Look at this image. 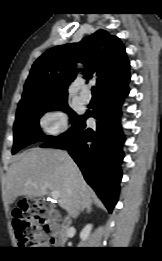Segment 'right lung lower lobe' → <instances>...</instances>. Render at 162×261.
I'll use <instances>...</instances> for the list:
<instances>
[{"instance_id": "right-lung-lower-lobe-1", "label": "right lung lower lobe", "mask_w": 162, "mask_h": 261, "mask_svg": "<svg viewBox=\"0 0 162 261\" xmlns=\"http://www.w3.org/2000/svg\"><path fill=\"white\" fill-rule=\"evenodd\" d=\"M128 84L100 94L98 107L78 116L64 134L48 138L41 147L68 150L80 167L85 180L95 190L109 212L118 200L119 182L122 178V145L125 141L119 122ZM96 119L95 129H86L85 120Z\"/></svg>"}]
</instances>
